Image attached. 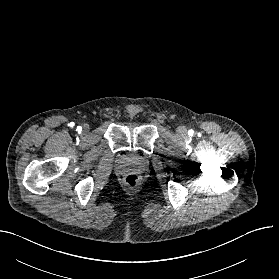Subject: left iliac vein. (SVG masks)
<instances>
[{"label":"left iliac vein","mask_w":279,"mask_h":279,"mask_svg":"<svg viewBox=\"0 0 279 279\" xmlns=\"http://www.w3.org/2000/svg\"><path fill=\"white\" fill-rule=\"evenodd\" d=\"M177 135L181 138H186L187 137V131L184 127H179L177 129Z\"/></svg>","instance_id":"1"}]
</instances>
